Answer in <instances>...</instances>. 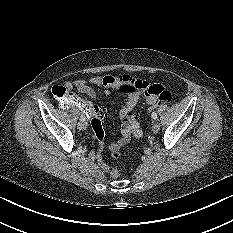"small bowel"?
Here are the masks:
<instances>
[{"label":"small bowel","mask_w":233,"mask_h":233,"mask_svg":"<svg viewBox=\"0 0 233 233\" xmlns=\"http://www.w3.org/2000/svg\"><path fill=\"white\" fill-rule=\"evenodd\" d=\"M134 81L139 82L141 87L135 86ZM150 85L146 81L135 80L126 76H95L89 80L67 81L63 86L70 92L77 89L93 99L96 98L95 88L101 89L104 94H109L114 90L126 96L125 104L119 111V117L122 121L121 136L110 145V150L113 153L119 151L132 137H142L143 131L134 115V109L141 96H145L148 105L155 99V96L149 95L145 91V87ZM98 163L104 172H109V165L102 160L100 154L98 155Z\"/></svg>","instance_id":"obj_1"}]
</instances>
